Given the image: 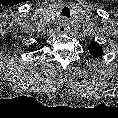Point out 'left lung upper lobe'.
I'll return each mask as SVG.
<instances>
[{"label":"left lung upper lobe","instance_id":"left-lung-upper-lobe-1","mask_svg":"<svg viewBox=\"0 0 118 118\" xmlns=\"http://www.w3.org/2000/svg\"><path fill=\"white\" fill-rule=\"evenodd\" d=\"M89 52L92 56L94 57H101L103 55V50H102V47L95 41H93L89 47Z\"/></svg>","mask_w":118,"mask_h":118}]
</instances>
